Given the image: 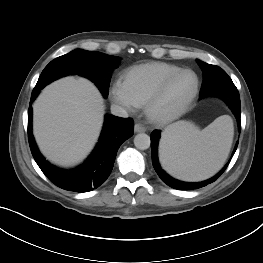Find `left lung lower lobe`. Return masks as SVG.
Segmentation results:
<instances>
[{
  "instance_id": "obj_1",
  "label": "left lung lower lobe",
  "mask_w": 263,
  "mask_h": 263,
  "mask_svg": "<svg viewBox=\"0 0 263 263\" xmlns=\"http://www.w3.org/2000/svg\"><path fill=\"white\" fill-rule=\"evenodd\" d=\"M201 69L204 72V89L203 92L200 93V97H206V96H218L222 98L230 107L232 112L235 114L239 131L241 130V124H240V113H241V105H240V97L239 92L236 87H214L212 86L214 81L217 78V71H219V67L215 65L210 64H203L200 65ZM151 151H152V164L157 172L158 176L162 179L163 182H165L168 186L179 189V190H192L204 187L212 182H214L220 175L225 171L227 168L229 162L226 164V166L214 177L211 179H208L203 182L198 183H187V182H181L178 181L172 177H170L165 171L160 167V164L158 162L157 158V147H158V141L160 138V132L158 130H155L151 134ZM238 142L235 146V149L233 151V155L237 149ZM232 155V156H233Z\"/></svg>"
}]
</instances>
